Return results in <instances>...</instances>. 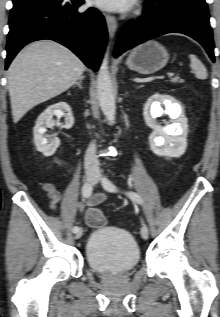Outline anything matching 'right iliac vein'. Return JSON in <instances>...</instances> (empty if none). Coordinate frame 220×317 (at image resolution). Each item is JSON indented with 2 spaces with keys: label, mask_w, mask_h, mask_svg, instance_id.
<instances>
[{
  "label": "right iliac vein",
  "mask_w": 220,
  "mask_h": 317,
  "mask_svg": "<svg viewBox=\"0 0 220 317\" xmlns=\"http://www.w3.org/2000/svg\"><path fill=\"white\" fill-rule=\"evenodd\" d=\"M95 178H96V176L92 173L87 175V180L89 182H93L95 180ZM82 234H83V230H82V228H80L75 234V239L81 238Z\"/></svg>",
  "instance_id": "right-iliac-vein-1"
}]
</instances>
